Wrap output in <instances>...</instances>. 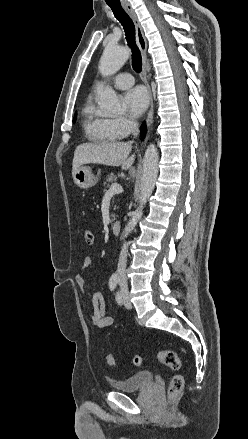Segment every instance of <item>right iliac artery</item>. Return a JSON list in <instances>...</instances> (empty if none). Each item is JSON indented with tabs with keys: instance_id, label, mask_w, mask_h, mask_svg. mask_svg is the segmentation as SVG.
<instances>
[{
	"instance_id": "right-iliac-artery-1",
	"label": "right iliac artery",
	"mask_w": 248,
	"mask_h": 439,
	"mask_svg": "<svg viewBox=\"0 0 248 439\" xmlns=\"http://www.w3.org/2000/svg\"><path fill=\"white\" fill-rule=\"evenodd\" d=\"M117 283H118V276L114 274L109 279V288L111 291L115 290Z\"/></svg>"
}]
</instances>
